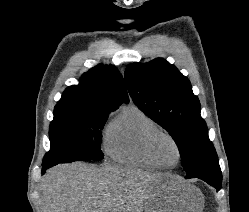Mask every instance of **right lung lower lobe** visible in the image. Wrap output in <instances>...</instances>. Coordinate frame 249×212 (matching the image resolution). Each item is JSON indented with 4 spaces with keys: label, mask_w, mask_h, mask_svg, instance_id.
Instances as JSON below:
<instances>
[{
    "label": "right lung lower lobe",
    "mask_w": 249,
    "mask_h": 212,
    "mask_svg": "<svg viewBox=\"0 0 249 212\" xmlns=\"http://www.w3.org/2000/svg\"><path fill=\"white\" fill-rule=\"evenodd\" d=\"M43 167H42V173H45V170L54 166V164H42Z\"/></svg>",
    "instance_id": "1"
}]
</instances>
